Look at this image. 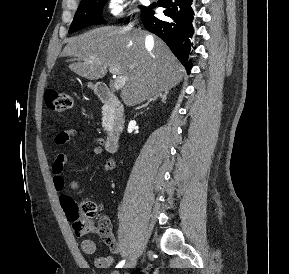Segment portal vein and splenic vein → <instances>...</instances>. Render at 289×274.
<instances>
[{
    "label": "portal vein and splenic vein",
    "instance_id": "portal-vein-and-splenic-vein-1",
    "mask_svg": "<svg viewBox=\"0 0 289 274\" xmlns=\"http://www.w3.org/2000/svg\"><path fill=\"white\" fill-rule=\"evenodd\" d=\"M119 71H120V68L118 66H113V65L109 66V72L115 75L114 88L116 90H120L121 88H123L125 81H126L125 77L119 75Z\"/></svg>",
    "mask_w": 289,
    "mask_h": 274
}]
</instances>
